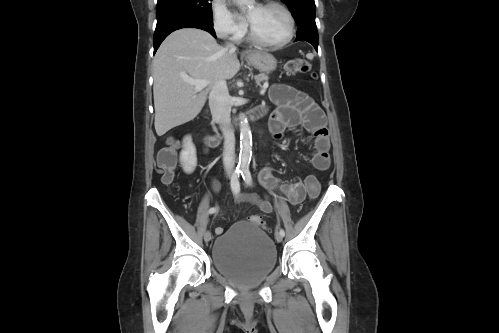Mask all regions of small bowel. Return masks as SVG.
<instances>
[{"instance_id": "1", "label": "small bowel", "mask_w": 499, "mask_h": 333, "mask_svg": "<svg viewBox=\"0 0 499 333\" xmlns=\"http://www.w3.org/2000/svg\"><path fill=\"white\" fill-rule=\"evenodd\" d=\"M269 94L271 101L277 106L269 119V129L272 136L275 139H280L286 129L302 126L314 139L311 160L313 167L320 171L328 169L330 166V139L322 109L305 92L286 84H274ZM261 107L265 112L267 111L266 107ZM217 144V137L208 136L205 138L207 147H213ZM259 181L269 191L278 190L292 205L299 204L305 199L306 191L302 182L280 183L272 175L269 168L261 171ZM210 184L215 192L220 190V183L217 180L211 179ZM238 201L250 203L267 214L273 211L272 202L267 197L261 198L256 194H243L238 197ZM223 230L222 227L216 229L218 233L223 232Z\"/></svg>"}]
</instances>
